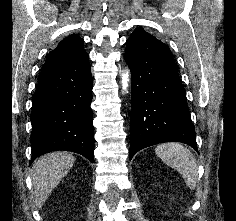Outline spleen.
Returning <instances> with one entry per match:
<instances>
[{
  "label": "spleen",
  "instance_id": "1",
  "mask_svg": "<svg viewBox=\"0 0 236 221\" xmlns=\"http://www.w3.org/2000/svg\"><path fill=\"white\" fill-rule=\"evenodd\" d=\"M155 153L167 165L175 168L185 180L187 186L194 189L198 177V167L193 153L183 145L168 142L158 145Z\"/></svg>",
  "mask_w": 236,
  "mask_h": 221
}]
</instances>
